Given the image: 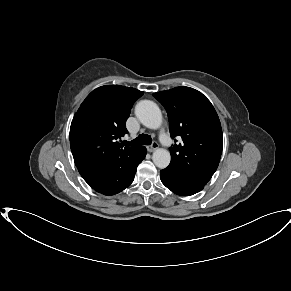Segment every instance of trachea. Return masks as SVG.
I'll return each instance as SVG.
<instances>
[{"instance_id":"obj_1","label":"trachea","mask_w":291,"mask_h":291,"mask_svg":"<svg viewBox=\"0 0 291 291\" xmlns=\"http://www.w3.org/2000/svg\"><path fill=\"white\" fill-rule=\"evenodd\" d=\"M152 138L147 134H141L136 139L131 142L124 141V145L126 146H139V145H151Z\"/></svg>"}]
</instances>
